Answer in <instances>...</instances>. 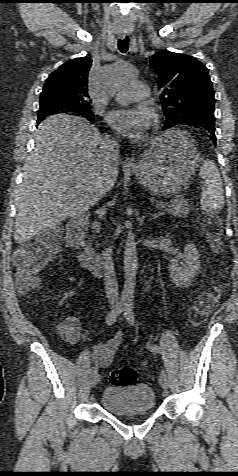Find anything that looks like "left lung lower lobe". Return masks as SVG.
<instances>
[{
  "instance_id": "obj_1",
  "label": "left lung lower lobe",
  "mask_w": 238,
  "mask_h": 476,
  "mask_svg": "<svg viewBox=\"0 0 238 476\" xmlns=\"http://www.w3.org/2000/svg\"><path fill=\"white\" fill-rule=\"evenodd\" d=\"M192 125H198V126H202L204 128H206L210 133H211V139L213 140V143L216 144V136L214 134V131H215V125H214V121H208V120H203V121H196V122H193V123H190ZM169 127H163V129H167Z\"/></svg>"
}]
</instances>
